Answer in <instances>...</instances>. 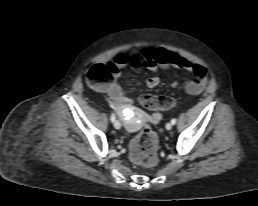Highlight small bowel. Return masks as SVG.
Here are the masks:
<instances>
[{
	"instance_id": "small-bowel-1",
	"label": "small bowel",
	"mask_w": 258,
	"mask_h": 206,
	"mask_svg": "<svg viewBox=\"0 0 258 206\" xmlns=\"http://www.w3.org/2000/svg\"><path fill=\"white\" fill-rule=\"evenodd\" d=\"M132 61L133 57L128 54L121 53L116 55L107 65L111 74L110 82L98 87L105 93L111 106L124 117L125 124L129 129L136 126L139 122V118L128 117L126 112L130 110V100L126 95V92L120 86L119 78L122 69L128 67ZM140 63L153 71L158 69L177 68L194 74V79L185 84L186 92L191 95H197L202 92L208 82V74L205 67L195 64L190 60L163 48L145 49L140 57ZM159 83L160 79L156 76L150 77L144 82L149 88H154L158 86ZM171 85L176 87L177 82H173ZM160 119L161 115L158 113H154L146 118V120L151 122H158Z\"/></svg>"
}]
</instances>
